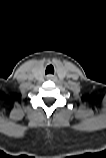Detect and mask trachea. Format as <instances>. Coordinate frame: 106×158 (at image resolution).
I'll return each mask as SVG.
<instances>
[{"instance_id":"1","label":"trachea","mask_w":106,"mask_h":158,"mask_svg":"<svg viewBox=\"0 0 106 158\" xmlns=\"http://www.w3.org/2000/svg\"><path fill=\"white\" fill-rule=\"evenodd\" d=\"M52 73L54 74V67L52 65H48L45 70V74Z\"/></svg>"}]
</instances>
